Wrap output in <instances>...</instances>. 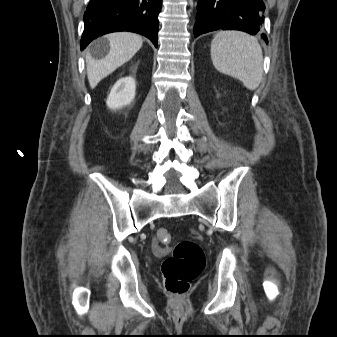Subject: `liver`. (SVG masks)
Returning <instances> with one entry per match:
<instances>
[{
    "label": "liver",
    "instance_id": "obj_1",
    "mask_svg": "<svg viewBox=\"0 0 337 337\" xmlns=\"http://www.w3.org/2000/svg\"><path fill=\"white\" fill-rule=\"evenodd\" d=\"M109 42L108 54L100 60L86 55L87 77L90 87L97 84L118 67L129 61L142 47V37L130 32H116L105 36Z\"/></svg>",
    "mask_w": 337,
    "mask_h": 337
}]
</instances>
